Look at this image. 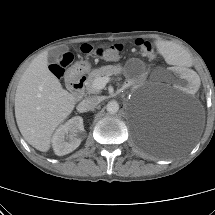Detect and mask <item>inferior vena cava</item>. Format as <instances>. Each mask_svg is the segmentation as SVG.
Returning a JSON list of instances; mask_svg holds the SVG:
<instances>
[{
    "mask_svg": "<svg viewBox=\"0 0 215 215\" xmlns=\"http://www.w3.org/2000/svg\"><path fill=\"white\" fill-rule=\"evenodd\" d=\"M99 102L100 100L96 96L87 97L80 102L79 108L83 112L90 111L93 110L99 104Z\"/></svg>",
    "mask_w": 215,
    "mask_h": 215,
    "instance_id": "inferior-vena-cava-1",
    "label": "inferior vena cava"
}]
</instances>
